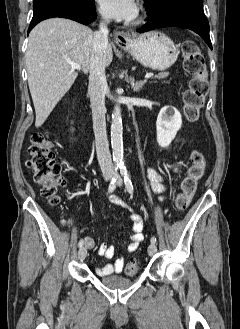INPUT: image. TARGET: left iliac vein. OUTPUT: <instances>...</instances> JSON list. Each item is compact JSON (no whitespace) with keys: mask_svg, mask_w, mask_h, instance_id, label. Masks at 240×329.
Listing matches in <instances>:
<instances>
[{"mask_svg":"<svg viewBox=\"0 0 240 329\" xmlns=\"http://www.w3.org/2000/svg\"><path fill=\"white\" fill-rule=\"evenodd\" d=\"M117 179H118V185H120L122 183V179L119 175H116ZM157 251V247L155 244H150L149 247H148V254L150 256H153Z\"/></svg>","mask_w":240,"mask_h":329,"instance_id":"1","label":"left iliac vein"}]
</instances>
